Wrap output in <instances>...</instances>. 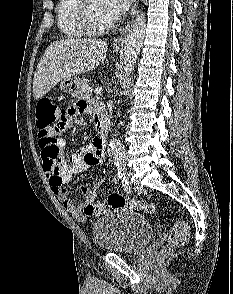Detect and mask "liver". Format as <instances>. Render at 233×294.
Returning a JSON list of instances; mask_svg holds the SVG:
<instances>
[{
    "mask_svg": "<svg viewBox=\"0 0 233 294\" xmlns=\"http://www.w3.org/2000/svg\"><path fill=\"white\" fill-rule=\"evenodd\" d=\"M108 46L97 39L53 42L42 55L34 74L33 95L39 99L58 82L95 69L105 59Z\"/></svg>",
    "mask_w": 233,
    "mask_h": 294,
    "instance_id": "1",
    "label": "liver"
}]
</instances>
